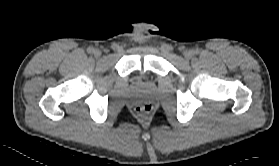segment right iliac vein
I'll return each mask as SVG.
<instances>
[{
    "label": "right iliac vein",
    "instance_id": "right-iliac-vein-1",
    "mask_svg": "<svg viewBox=\"0 0 279 166\" xmlns=\"http://www.w3.org/2000/svg\"><path fill=\"white\" fill-rule=\"evenodd\" d=\"M93 54H94L96 57H99V56H101V51H100L99 49H94Z\"/></svg>",
    "mask_w": 279,
    "mask_h": 166
}]
</instances>
